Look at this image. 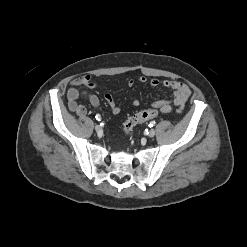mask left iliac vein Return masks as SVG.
Returning <instances> with one entry per match:
<instances>
[{
    "label": "left iliac vein",
    "mask_w": 247,
    "mask_h": 247,
    "mask_svg": "<svg viewBox=\"0 0 247 247\" xmlns=\"http://www.w3.org/2000/svg\"><path fill=\"white\" fill-rule=\"evenodd\" d=\"M155 134H156V131H155V129H151L150 131H149V133H148V137H154L155 136Z\"/></svg>",
    "instance_id": "4c4485c4"
}]
</instances>
